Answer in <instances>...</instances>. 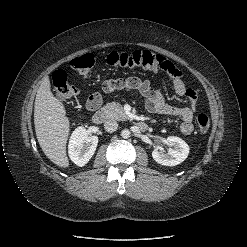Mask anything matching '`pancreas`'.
<instances>
[{"mask_svg": "<svg viewBox=\"0 0 247 247\" xmlns=\"http://www.w3.org/2000/svg\"><path fill=\"white\" fill-rule=\"evenodd\" d=\"M102 110L107 118L123 121L128 118L123 107L117 102L107 103Z\"/></svg>", "mask_w": 247, "mask_h": 247, "instance_id": "cf45deb5", "label": "pancreas"}]
</instances>
